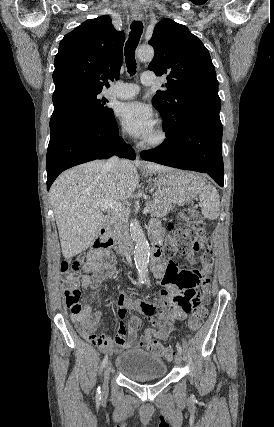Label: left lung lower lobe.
Wrapping results in <instances>:
<instances>
[{
  "label": "left lung lower lobe",
  "mask_w": 274,
  "mask_h": 427,
  "mask_svg": "<svg viewBox=\"0 0 274 427\" xmlns=\"http://www.w3.org/2000/svg\"><path fill=\"white\" fill-rule=\"evenodd\" d=\"M144 160L208 173L223 186L222 124L220 118L199 115L184 122L153 150L143 151Z\"/></svg>",
  "instance_id": "obj_1"
}]
</instances>
